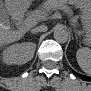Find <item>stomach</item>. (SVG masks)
Wrapping results in <instances>:
<instances>
[{
	"label": "stomach",
	"instance_id": "1",
	"mask_svg": "<svg viewBox=\"0 0 91 91\" xmlns=\"http://www.w3.org/2000/svg\"><path fill=\"white\" fill-rule=\"evenodd\" d=\"M75 5H78V6H82L84 2L80 1V0H74L72 1ZM83 22H84V25H85V29L87 32H89L90 30V22H91V18H90V15L89 14H86L83 16Z\"/></svg>",
	"mask_w": 91,
	"mask_h": 91
}]
</instances>
